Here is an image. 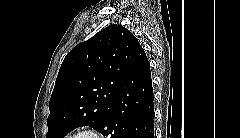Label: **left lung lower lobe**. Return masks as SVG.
<instances>
[{
    "instance_id": "0a47b994",
    "label": "left lung lower lobe",
    "mask_w": 240,
    "mask_h": 138,
    "mask_svg": "<svg viewBox=\"0 0 240 138\" xmlns=\"http://www.w3.org/2000/svg\"><path fill=\"white\" fill-rule=\"evenodd\" d=\"M153 118L150 65L141 47L97 130L109 138H153Z\"/></svg>"
}]
</instances>
